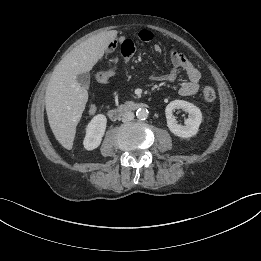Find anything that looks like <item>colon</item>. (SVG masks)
Listing matches in <instances>:
<instances>
[{
  "label": "colon",
  "mask_w": 261,
  "mask_h": 261,
  "mask_svg": "<svg viewBox=\"0 0 261 261\" xmlns=\"http://www.w3.org/2000/svg\"><path fill=\"white\" fill-rule=\"evenodd\" d=\"M114 74V68L99 71L96 74V80L99 83H106ZM203 99L206 102H213L216 99V92L212 87H205L202 91Z\"/></svg>",
  "instance_id": "1"
}]
</instances>
